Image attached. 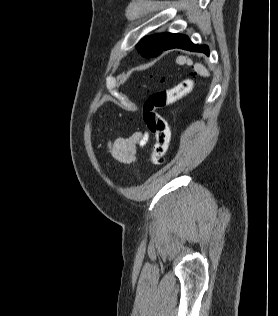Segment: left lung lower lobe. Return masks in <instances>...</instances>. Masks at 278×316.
Masks as SVG:
<instances>
[{
    "label": "left lung lower lobe",
    "instance_id": "left-lung-lower-lobe-1",
    "mask_svg": "<svg viewBox=\"0 0 278 316\" xmlns=\"http://www.w3.org/2000/svg\"><path fill=\"white\" fill-rule=\"evenodd\" d=\"M173 48H181L193 52H203L206 55H209V49L206 45L194 44L189 40V38L186 35L181 34H176L164 50H169Z\"/></svg>",
    "mask_w": 278,
    "mask_h": 316
}]
</instances>
